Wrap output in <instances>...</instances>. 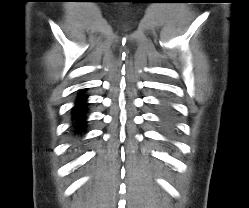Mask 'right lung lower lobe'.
I'll use <instances>...</instances> for the list:
<instances>
[{"instance_id":"98d812e1","label":"right lung lower lobe","mask_w":249,"mask_h":208,"mask_svg":"<svg viewBox=\"0 0 249 208\" xmlns=\"http://www.w3.org/2000/svg\"><path fill=\"white\" fill-rule=\"evenodd\" d=\"M82 90L76 99L75 106L73 107V128L75 133L80 134L86 123V112H87V96L82 94Z\"/></svg>"}]
</instances>
